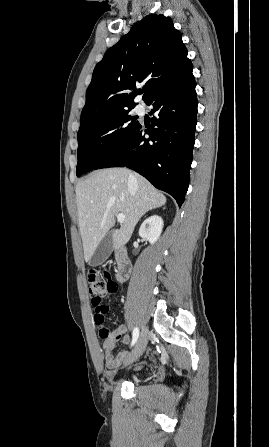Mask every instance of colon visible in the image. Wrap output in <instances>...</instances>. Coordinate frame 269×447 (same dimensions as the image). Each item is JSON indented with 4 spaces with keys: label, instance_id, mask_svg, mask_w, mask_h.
I'll return each mask as SVG.
<instances>
[{
    "label": "colon",
    "instance_id": "5ec220e1",
    "mask_svg": "<svg viewBox=\"0 0 269 447\" xmlns=\"http://www.w3.org/2000/svg\"><path fill=\"white\" fill-rule=\"evenodd\" d=\"M103 266L98 267L97 270H90L86 274L87 286L89 294L91 295L90 301L97 312L93 314L95 321L99 324L98 336L101 339H114L115 331L110 330V323L104 322L105 314L109 308L106 305H101L100 297L107 296L114 291V278L108 273L103 276L100 273Z\"/></svg>",
    "mask_w": 269,
    "mask_h": 447
}]
</instances>
